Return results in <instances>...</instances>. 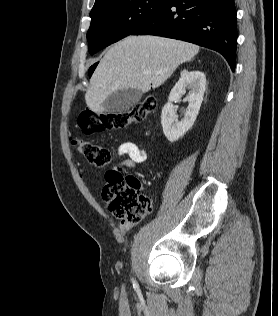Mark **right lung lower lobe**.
Listing matches in <instances>:
<instances>
[{"mask_svg":"<svg viewBox=\"0 0 278 316\" xmlns=\"http://www.w3.org/2000/svg\"><path fill=\"white\" fill-rule=\"evenodd\" d=\"M131 35H156L188 41L221 53L232 71L237 47L234 0H165Z\"/></svg>","mask_w":278,"mask_h":316,"instance_id":"1","label":"right lung lower lobe"}]
</instances>
